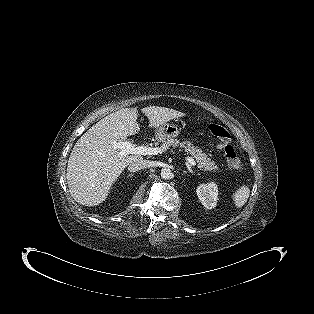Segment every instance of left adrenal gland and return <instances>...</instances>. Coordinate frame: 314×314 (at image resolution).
Here are the masks:
<instances>
[{
  "label": "left adrenal gland",
  "instance_id": "a2214340",
  "mask_svg": "<svg viewBox=\"0 0 314 314\" xmlns=\"http://www.w3.org/2000/svg\"><path fill=\"white\" fill-rule=\"evenodd\" d=\"M183 174H187V172H186V171H183Z\"/></svg>",
  "mask_w": 314,
  "mask_h": 314
}]
</instances>
